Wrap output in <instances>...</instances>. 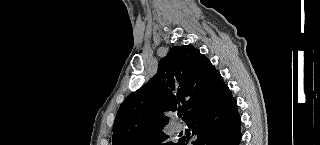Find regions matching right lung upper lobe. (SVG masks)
I'll use <instances>...</instances> for the list:
<instances>
[{
	"label": "right lung upper lobe",
	"mask_w": 320,
	"mask_h": 145,
	"mask_svg": "<svg viewBox=\"0 0 320 145\" xmlns=\"http://www.w3.org/2000/svg\"><path fill=\"white\" fill-rule=\"evenodd\" d=\"M220 74L192 45L174 46L159 63L157 74L129 95L120 106L113 132V145H132L168 123L165 111L182 104L187 122L208 104Z\"/></svg>",
	"instance_id": "1"
}]
</instances>
